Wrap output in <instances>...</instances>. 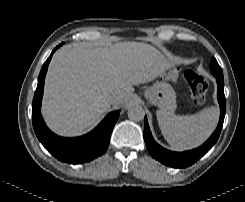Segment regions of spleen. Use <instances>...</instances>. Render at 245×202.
Returning <instances> with one entry per match:
<instances>
[{
	"instance_id": "obj_1",
	"label": "spleen",
	"mask_w": 245,
	"mask_h": 202,
	"mask_svg": "<svg viewBox=\"0 0 245 202\" xmlns=\"http://www.w3.org/2000/svg\"><path fill=\"white\" fill-rule=\"evenodd\" d=\"M219 108L210 107L197 114L177 116L157 111V120L165 140L176 151L200 146L209 138L219 121Z\"/></svg>"
}]
</instances>
